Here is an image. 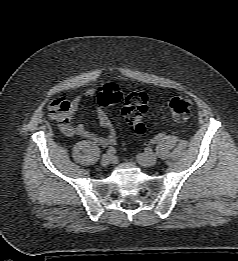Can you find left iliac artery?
<instances>
[{"label": "left iliac artery", "mask_w": 238, "mask_h": 261, "mask_svg": "<svg viewBox=\"0 0 238 261\" xmlns=\"http://www.w3.org/2000/svg\"><path fill=\"white\" fill-rule=\"evenodd\" d=\"M165 138H166V135L164 133H160L154 138L153 143H159V142L163 141Z\"/></svg>", "instance_id": "44dca946"}]
</instances>
